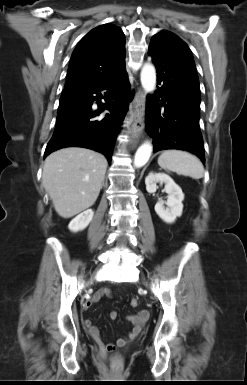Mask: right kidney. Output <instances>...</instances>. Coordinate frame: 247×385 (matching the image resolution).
Listing matches in <instances>:
<instances>
[{"instance_id": "right-kidney-1", "label": "right kidney", "mask_w": 247, "mask_h": 385, "mask_svg": "<svg viewBox=\"0 0 247 385\" xmlns=\"http://www.w3.org/2000/svg\"><path fill=\"white\" fill-rule=\"evenodd\" d=\"M94 212L92 209H88L81 214L77 215L68 225V228L72 232H78L84 230L93 219Z\"/></svg>"}]
</instances>
